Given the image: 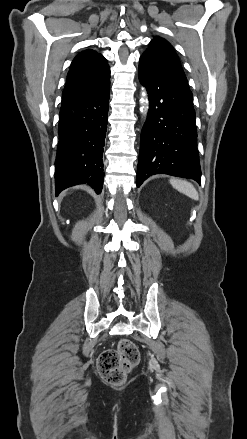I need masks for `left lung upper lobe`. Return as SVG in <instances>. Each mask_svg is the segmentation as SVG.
Here are the masks:
<instances>
[{
  "mask_svg": "<svg viewBox=\"0 0 247 439\" xmlns=\"http://www.w3.org/2000/svg\"><path fill=\"white\" fill-rule=\"evenodd\" d=\"M140 61L159 74L189 89L180 60L173 46L164 38L154 37L148 49L140 57Z\"/></svg>",
  "mask_w": 247,
  "mask_h": 439,
  "instance_id": "obj_1",
  "label": "left lung upper lobe"
}]
</instances>
